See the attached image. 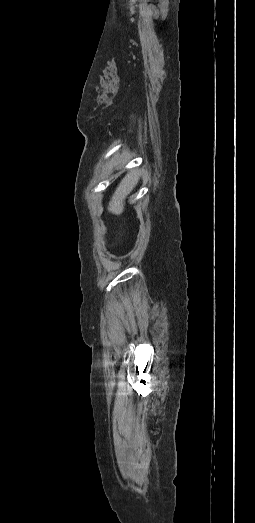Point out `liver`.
Instances as JSON below:
<instances>
[{"mask_svg":"<svg viewBox=\"0 0 255 523\" xmlns=\"http://www.w3.org/2000/svg\"><path fill=\"white\" fill-rule=\"evenodd\" d=\"M139 172H135V170H131L123 180H121L118 188H116L109 204H108V210L111 212V214H116V216H120L122 212H124V200L127 198L128 194L132 192L133 188L137 186L138 180H139Z\"/></svg>","mask_w":255,"mask_h":523,"instance_id":"obj_1","label":"liver"}]
</instances>
